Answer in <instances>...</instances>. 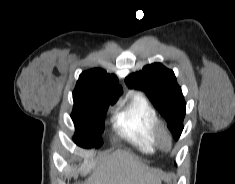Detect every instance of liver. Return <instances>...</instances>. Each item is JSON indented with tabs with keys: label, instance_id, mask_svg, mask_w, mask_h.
<instances>
[{
	"label": "liver",
	"instance_id": "liver-1",
	"mask_svg": "<svg viewBox=\"0 0 235 184\" xmlns=\"http://www.w3.org/2000/svg\"><path fill=\"white\" fill-rule=\"evenodd\" d=\"M163 172L145 166L134 154L115 150L104 156L87 184H161Z\"/></svg>",
	"mask_w": 235,
	"mask_h": 184
}]
</instances>
